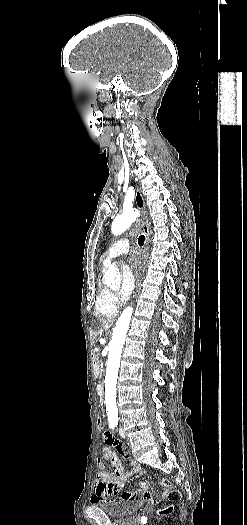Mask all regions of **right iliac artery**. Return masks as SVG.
<instances>
[{
    "label": "right iliac artery",
    "instance_id": "right-iliac-artery-1",
    "mask_svg": "<svg viewBox=\"0 0 247 525\" xmlns=\"http://www.w3.org/2000/svg\"><path fill=\"white\" fill-rule=\"evenodd\" d=\"M115 426H116V424H114V423H113V424H110V427H111L112 429H114Z\"/></svg>",
    "mask_w": 247,
    "mask_h": 525
}]
</instances>
